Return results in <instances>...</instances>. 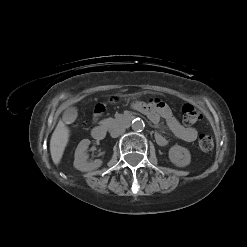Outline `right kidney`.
<instances>
[{
	"mask_svg": "<svg viewBox=\"0 0 247 247\" xmlns=\"http://www.w3.org/2000/svg\"><path fill=\"white\" fill-rule=\"evenodd\" d=\"M90 140L83 139L77 146L75 151L74 167L81 172H89L98 169L102 165V160L96 159L93 162H87L88 155L86 153Z\"/></svg>",
	"mask_w": 247,
	"mask_h": 247,
	"instance_id": "ca27d5eb",
	"label": "right kidney"
}]
</instances>
